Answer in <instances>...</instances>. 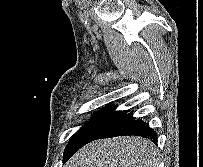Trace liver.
<instances>
[{
    "instance_id": "liver-1",
    "label": "liver",
    "mask_w": 203,
    "mask_h": 167,
    "mask_svg": "<svg viewBox=\"0 0 203 167\" xmlns=\"http://www.w3.org/2000/svg\"><path fill=\"white\" fill-rule=\"evenodd\" d=\"M157 149L147 139L131 136L91 142L66 167H156Z\"/></svg>"
}]
</instances>
